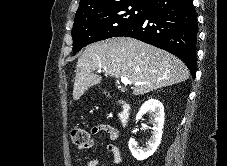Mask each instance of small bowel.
Listing matches in <instances>:
<instances>
[{
  "mask_svg": "<svg viewBox=\"0 0 227 166\" xmlns=\"http://www.w3.org/2000/svg\"><path fill=\"white\" fill-rule=\"evenodd\" d=\"M91 133L95 136L104 135L109 140H116L118 138V131L108 125H96L91 128ZM95 144L94 140L91 141V143L87 146L88 148L93 147ZM106 151L111 154L115 160V162L120 163L124 160L123 155L119 152L118 148L112 144L108 143L105 146ZM100 158H91L87 159L85 164L86 166H98L100 164Z\"/></svg>",
  "mask_w": 227,
  "mask_h": 166,
  "instance_id": "c3829d8e",
  "label": "small bowel"
}]
</instances>
